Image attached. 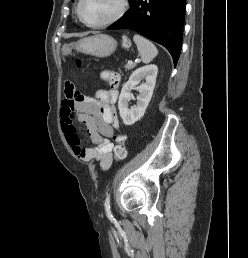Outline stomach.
<instances>
[{
	"label": "stomach",
	"mask_w": 248,
	"mask_h": 258,
	"mask_svg": "<svg viewBox=\"0 0 248 258\" xmlns=\"http://www.w3.org/2000/svg\"><path fill=\"white\" fill-rule=\"evenodd\" d=\"M117 47V41L105 34H98L90 37L83 38L76 43L70 45H64L62 47V54L68 55L72 49L78 52L93 55L96 57H108Z\"/></svg>",
	"instance_id": "0dacf381"
}]
</instances>
